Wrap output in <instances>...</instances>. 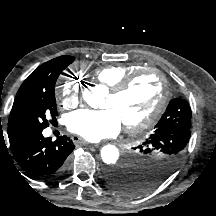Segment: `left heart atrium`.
I'll return each mask as SVG.
<instances>
[{
	"mask_svg": "<svg viewBox=\"0 0 216 216\" xmlns=\"http://www.w3.org/2000/svg\"><path fill=\"white\" fill-rule=\"evenodd\" d=\"M122 121L112 108L102 110L81 109L70 113L67 129L88 141L114 137L121 129Z\"/></svg>",
	"mask_w": 216,
	"mask_h": 216,
	"instance_id": "obj_1",
	"label": "left heart atrium"
}]
</instances>
